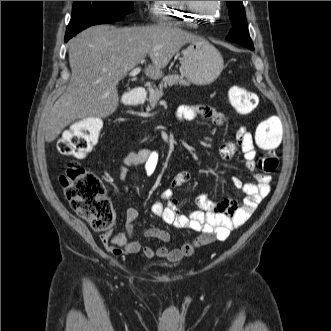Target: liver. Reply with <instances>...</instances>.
Instances as JSON below:
<instances>
[{"mask_svg":"<svg viewBox=\"0 0 331 331\" xmlns=\"http://www.w3.org/2000/svg\"><path fill=\"white\" fill-rule=\"evenodd\" d=\"M199 40L165 23L124 28L96 25L82 31L69 42L70 83L42 125L46 142L54 141L77 119L113 114L119 105L117 84L147 55L152 64L145 74L159 79L185 44Z\"/></svg>","mask_w":331,"mask_h":331,"instance_id":"6515ba94","label":"liver"}]
</instances>
